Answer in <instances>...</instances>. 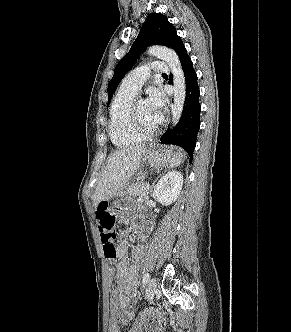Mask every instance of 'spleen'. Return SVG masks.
Masks as SVG:
<instances>
[{
	"mask_svg": "<svg viewBox=\"0 0 291 332\" xmlns=\"http://www.w3.org/2000/svg\"><path fill=\"white\" fill-rule=\"evenodd\" d=\"M184 157L185 155L181 151H178L177 155L170 160L169 167L179 166L183 162Z\"/></svg>",
	"mask_w": 291,
	"mask_h": 332,
	"instance_id": "obj_1",
	"label": "spleen"
}]
</instances>
